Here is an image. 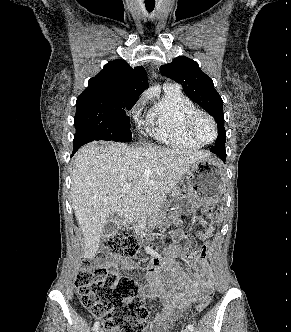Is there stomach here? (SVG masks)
I'll return each mask as SVG.
<instances>
[{"label": "stomach", "instance_id": "stomach-1", "mask_svg": "<svg viewBox=\"0 0 291 332\" xmlns=\"http://www.w3.org/2000/svg\"><path fill=\"white\" fill-rule=\"evenodd\" d=\"M223 185L224 173L217 160L210 156L198 160L187 172L185 192L174 188L172 199L164 210L154 212L152 222L163 224L168 213L173 210L194 213L198 207L214 203L220 198Z\"/></svg>", "mask_w": 291, "mask_h": 332}]
</instances>
